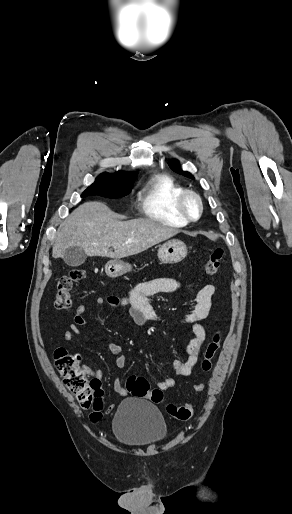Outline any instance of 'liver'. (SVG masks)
Here are the masks:
<instances>
[{
  "label": "liver",
  "instance_id": "1",
  "mask_svg": "<svg viewBox=\"0 0 292 514\" xmlns=\"http://www.w3.org/2000/svg\"><path fill=\"white\" fill-rule=\"evenodd\" d=\"M113 214L102 202H85L76 208L58 228L53 258H63L69 246H80L86 256L127 258L169 240L179 232L149 218L119 222Z\"/></svg>",
  "mask_w": 292,
  "mask_h": 514
}]
</instances>
